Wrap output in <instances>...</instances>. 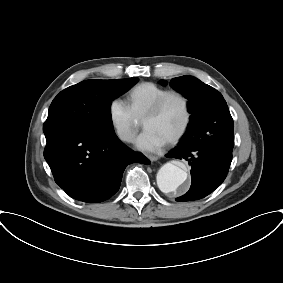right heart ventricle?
<instances>
[{"mask_svg":"<svg viewBox=\"0 0 283 283\" xmlns=\"http://www.w3.org/2000/svg\"><path fill=\"white\" fill-rule=\"evenodd\" d=\"M170 89L153 82H143L127 94V104L137 119H143L151 106Z\"/></svg>","mask_w":283,"mask_h":283,"instance_id":"e07e8e85","label":"right heart ventricle"}]
</instances>
